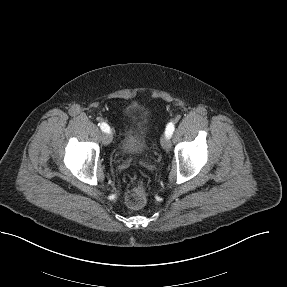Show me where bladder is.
Returning <instances> with one entry per match:
<instances>
[{"label":"bladder","mask_w":287,"mask_h":287,"mask_svg":"<svg viewBox=\"0 0 287 287\" xmlns=\"http://www.w3.org/2000/svg\"><path fill=\"white\" fill-rule=\"evenodd\" d=\"M147 145L146 135L141 127L138 125L137 127L131 126L120 145L121 151L127 154H138L142 153Z\"/></svg>","instance_id":"bladder-1"}]
</instances>
